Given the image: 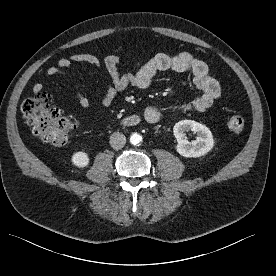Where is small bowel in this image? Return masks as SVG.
Listing matches in <instances>:
<instances>
[{"label":"small bowel","mask_w":276,"mask_h":276,"mask_svg":"<svg viewBox=\"0 0 276 276\" xmlns=\"http://www.w3.org/2000/svg\"><path fill=\"white\" fill-rule=\"evenodd\" d=\"M73 63H87L95 66L104 65L111 79L100 100L101 106L104 107L109 106L118 93L130 87L142 90L147 89L158 72L169 70L178 73L189 72L194 86L202 92L200 96L180 105L172 112H203L213 105L221 93L220 84L210 76L207 64L187 52H181L173 56L159 53L149 61L138 64L135 72L127 74L120 72V58L116 55H109L102 61L98 56L91 53H75L69 57L60 58L56 66H51L46 70V74L48 76L64 75L65 70ZM39 91H44L42 83H36L33 86L34 93ZM76 96L80 106L83 108L90 106V101L80 89H77ZM161 115V110L155 106H148L144 110V118L149 123L158 122Z\"/></svg>","instance_id":"obj_1"}]
</instances>
